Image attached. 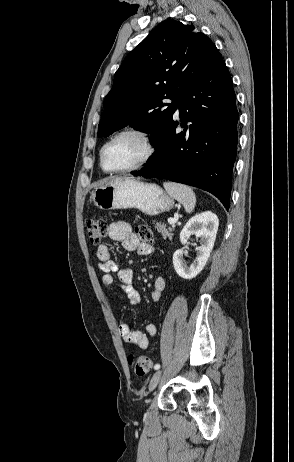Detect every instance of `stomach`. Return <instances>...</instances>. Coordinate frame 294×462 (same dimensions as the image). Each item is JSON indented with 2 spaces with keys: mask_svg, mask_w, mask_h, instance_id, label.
I'll list each match as a JSON object with an SVG mask.
<instances>
[{
  "mask_svg": "<svg viewBox=\"0 0 294 462\" xmlns=\"http://www.w3.org/2000/svg\"><path fill=\"white\" fill-rule=\"evenodd\" d=\"M94 204L103 210L136 208L153 216L169 211L173 199L161 187L133 178H117L91 193Z\"/></svg>",
  "mask_w": 294,
  "mask_h": 462,
  "instance_id": "0dacf381",
  "label": "stomach"
}]
</instances>
